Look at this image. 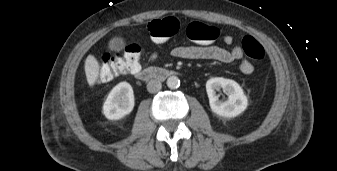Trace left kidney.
Returning a JSON list of instances; mask_svg holds the SVG:
<instances>
[{
	"label": "left kidney",
	"mask_w": 337,
	"mask_h": 171,
	"mask_svg": "<svg viewBox=\"0 0 337 171\" xmlns=\"http://www.w3.org/2000/svg\"><path fill=\"white\" fill-rule=\"evenodd\" d=\"M220 88L227 93L226 101L219 100L216 90ZM206 91L212 112L215 114L232 118L241 114L248 106V99L240 85L231 79L222 77L211 78L206 82Z\"/></svg>",
	"instance_id": "5707ae66"
}]
</instances>
